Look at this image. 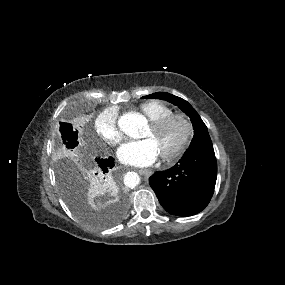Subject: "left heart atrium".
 <instances>
[{
  "label": "left heart atrium",
  "mask_w": 285,
  "mask_h": 285,
  "mask_svg": "<svg viewBox=\"0 0 285 285\" xmlns=\"http://www.w3.org/2000/svg\"><path fill=\"white\" fill-rule=\"evenodd\" d=\"M160 154V150L152 138L126 142L117 152L121 162L137 167L153 164Z\"/></svg>",
  "instance_id": "39dd6f15"
}]
</instances>
